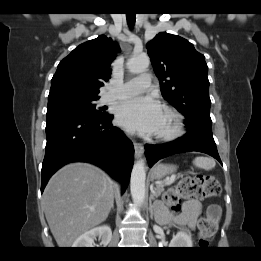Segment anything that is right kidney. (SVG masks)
I'll return each instance as SVG.
<instances>
[{
	"label": "right kidney",
	"instance_id": "1",
	"mask_svg": "<svg viewBox=\"0 0 261 261\" xmlns=\"http://www.w3.org/2000/svg\"><path fill=\"white\" fill-rule=\"evenodd\" d=\"M96 237H99L101 239V243L103 244V246L106 247L112 238V231L110 226L103 225V226L95 227L85 232L75 240L72 247L74 248L93 247L94 239Z\"/></svg>",
	"mask_w": 261,
	"mask_h": 261
}]
</instances>
